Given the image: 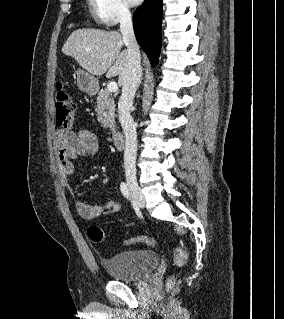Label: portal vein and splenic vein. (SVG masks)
<instances>
[{"label":"portal vein and splenic vein","instance_id":"18ae733b","mask_svg":"<svg viewBox=\"0 0 284 319\" xmlns=\"http://www.w3.org/2000/svg\"><path fill=\"white\" fill-rule=\"evenodd\" d=\"M118 90V85L116 82L111 81L107 85V91L108 92H116Z\"/></svg>","mask_w":284,"mask_h":319}]
</instances>
